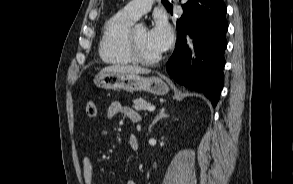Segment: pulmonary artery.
Listing matches in <instances>:
<instances>
[{"label":"pulmonary artery","mask_w":293,"mask_h":184,"mask_svg":"<svg viewBox=\"0 0 293 184\" xmlns=\"http://www.w3.org/2000/svg\"><path fill=\"white\" fill-rule=\"evenodd\" d=\"M155 0H132L128 2L122 11L134 19H139L147 13Z\"/></svg>","instance_id":"e3ab8cb5"}]
</instances>
